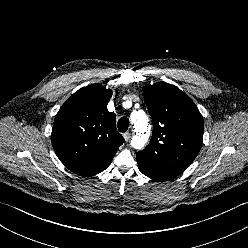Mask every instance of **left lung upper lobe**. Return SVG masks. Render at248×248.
Wrapping results in <instances>:
<instances>
[{"label": "left lung upper lobe", "instance_id": "obj_1", "mask_svg": "<svg viewBox=\"0 0 248 248\" xmlns=\"http://www.w3.org/2000/svg\"><path fill=\"white\" fill-rule=\"evenodd\" d=\"M143 95L153 134L148 146L136 155L139 169L154 180H169L185 171L197 156L203 118L193 101L174 85H146Z\"/></svg>", "mask_w": 248, "mask_h": 248}]
</instances>
